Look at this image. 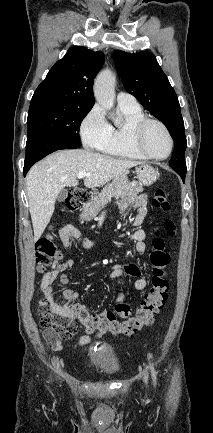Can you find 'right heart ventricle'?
<instances>
[{
    "label": "right heart ventricle",
    "instance_id": "right-heart-ventricle-1",
    "mask_svg": "<svg viewBox=\"0 0 213 433\" xmlns=\"http://www.w3.org/2000/svg\"><path fill=\"white\" fill-rule=\"evenodd\" d=\"M118 109L124 121L122 124L109 125L108 134L99 150L111 156L145 159L146 157L135 149L131 140L132 126L145 117L141 107L119 105Z\"/></svg>",
    "mask_w": 213,
    "mask_h": 433
}]
</instances>
